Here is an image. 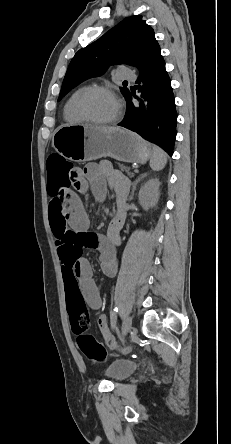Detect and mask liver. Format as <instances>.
<instances>
[{"instance_id": "6515ba94", "label": "liver", "mask_w": 231, "mask_h": 444, "mask_svg": "<svg viewBox=\"0 0 231 444\" xmlns=\"http://www.w3.org/2000/svg\"><path fill=\"white\" fill-rule=\"evenodd\" d=\"M96 128L104 130V131L115 129L114 127H96Z\"/></svg>"}]
</instances>
